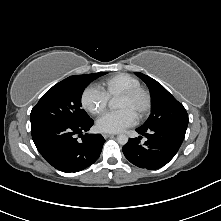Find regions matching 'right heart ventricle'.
Masks as SVG:
<instances>
[{
  "label": "right heart ventricle",
  "mask_w": 221,
  "mask_h": 221,
  "mask_svg": "<svg viewBox=\"0 0 221 221\" xmlns=\"http://www.w3.org/2000/svg\"><path fill=\"white\" fill-rule=\"evenodd\" d=\"M139 86H141L139 79L126 73L109 77L100 84L101 91L108 99L118 97L121 93Z\"/></svg>",
  "instance_id": "obj_1"
}]
</instances>
